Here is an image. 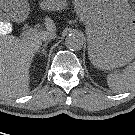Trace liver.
Segmentation results:
<instances>
[{
    "label": "liver",
    "mask_w": 135,
    "mask_h": 135,
    "mask_svg": "<svg viewBox=\"0 0 135 135\" xmlns=\"http://www.w3.org/2000/svg\"><path fill=\"white\" fill-rule=\"evenodd\" d=\"M45 29L55 33L56 26L52 20L46 19ZM45 31L21 38L0 33V96L21 97L28 94L29 69L41 47V36Z\"/></svg>",
    "instance_id": "1"
}]
</instances>
